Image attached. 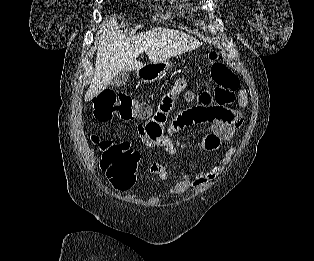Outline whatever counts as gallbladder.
Returning a JSON list of instances; mask_svg holds the SVG:
<instances>
[{"instance_id":"1","label":"gallbladder","mask_w":314,"mask_h":261,"mask_svg":"<svg viewBox=\"0 0 314 261\" xmlns=\"http://www.w3.org/2000/svg\"><path fill=\"white\" fill-rule=\"evenodd\" d=\"M128 80V72L127 71H121L111 81V85L113 87H121L126 84Z\"/></svg>"}]
</instances>
